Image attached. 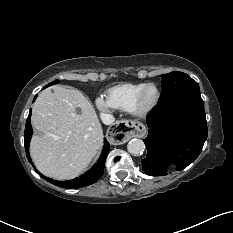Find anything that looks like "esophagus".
<instances>
[{
  "label": "esophagus",
  "instance_id": "obj_1",
  "mask_svg": "<svg viewBox=\"0 0 233 233\" xmlns=\"http://www.w3.org/2000/svg\"><path fill=\"white\" fill-rule=\"evenodd\" d=\"M145 134L144 125L133 120H120L111 126L107 132V139L114 145L126 142L134 136L142 137Z\"/></svg>",
  "mask_w": 233,
  "mask_h": 233
}]
</instances>
